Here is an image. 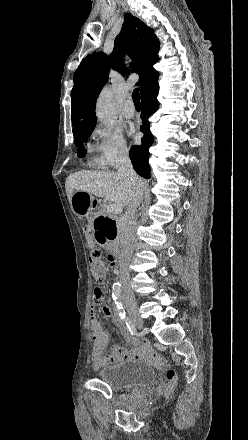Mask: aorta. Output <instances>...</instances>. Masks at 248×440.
Listing matches in <instances>:
<instances>
[{
	"label": "aorta",
	"instance_id": "aorta-1",
	"mask_svg": "<svg viewBox=\"0 0 248 440\" xmlns=\"http://www.w3.org/2000/svg\"><path fill=\"white\" fill-rule=\"evenodd\" d=\"M96 115L98 120L107 127H113L116 123L113 96L108 89H104L98 97Z\"/></svg>",
	"mask_w": 248,
	"mask_h": 440
}]
</instances>
